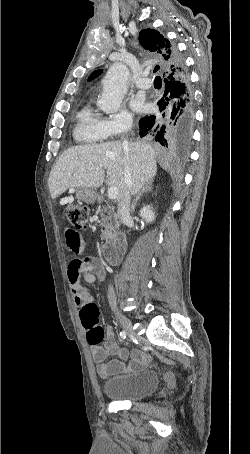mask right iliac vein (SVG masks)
Masks as SVG:
<instances>
[{"mask_svg":"<svg viewBox=\"0 0 250 454\" xmlns=\"http://www.w3.org/2000/svg\"><path fill=\"white\" fill-rule=\"evenodd\" d=\"M115 315H116L118 321L120 322V324L122 325V327L124 328V330L126 331V333L130 337H135V332L133 330L130 320L125 315H123L122 313H120L118 311L115 312Z\"/></svg>","mask_w":250,"mask_h":454,"instance_id":"right-iliac-vein-1","label":"right iliac vein"}]
</instances>
